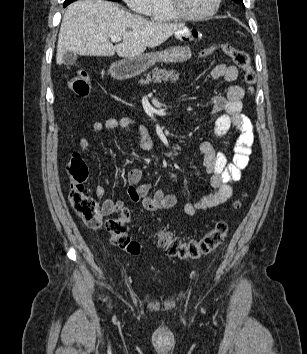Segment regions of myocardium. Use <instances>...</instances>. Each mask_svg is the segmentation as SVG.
<instances>
[{
	"label": "myocardium",
	"instance_id": "myocardium-1",
	"mask_svg": "<svg viewBox=\"0 0 307 354\" xmlns=\"http://www.w3.org/2000/svg\"><path fill=\"white\" fill-rule=\"evenodd\" d=\"M222 0H215L212 8L204 14L192 15L187 13L182 6V0H167L168 7L172 14L181 20L203 21L213 17L219 10Z\"/></svg>",
	"mask_w": 307,
	"mask_h": 354
}]
</instances>
